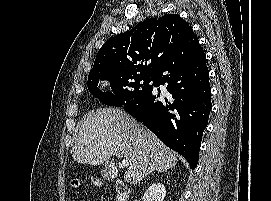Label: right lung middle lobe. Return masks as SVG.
<instances>
[{"instance_id":"dd1d6c3e","label":"right lung middle lobe","mask_w":271,"mask_h":201,"mask_svg":"<svg viewBox=\"0 0 271 201\" xmlns=\"http://www.w3.org/2000/svg\"><path fill=\"white\" fill-rule=\"evenodd\" d=\"M107 79L110 82L111 91H102L98 88L99 80ZM154 74H105L88 77V90L102 103L120 107L126 102L137 98L153 87L150 84Z\"/></svg>"}]
</instances>
